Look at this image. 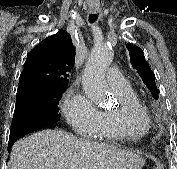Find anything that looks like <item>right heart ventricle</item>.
<instances>
[{"label":"right heart ventricle","mask_w":177,"mask_h":169,"mask_svg":"<svg viewBox=\"0 0 177 169\" xmlns=\"http://www.w3.org/2000/svg\"><path fill=\"white\" fill-rule=\"evenodd\" d=\"M113 93L119 102L118 108L100 111L94 137L101 140L128 141L145 136L149 127L130 115L133 110H144L135 90L129 86L125 90Z\"/></svg>","instance_id":"e07e8e85"}]
</instances>
